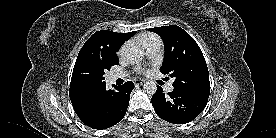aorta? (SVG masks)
Listing matches in <instances>:
<instances>
[{
    "instance_id": "762f6f07",
    "label": "aorta",
    "mask_w": 276,
    "mask_h": 138,
    "mask_svg": "<svg viewBox=\"0 0 276 138\" xmlns=\"http://www.w3.org/2000/svg\"><path fill=\"white\" fill-rule=\"evenodd\" d=\"M144 56V52L137 47H130L126 50V58L129 63L137 64ZM144 90L147 94L153 95L157 91V85L154 81H148L144 84Z\"/></svg>"
}]
</instances>
